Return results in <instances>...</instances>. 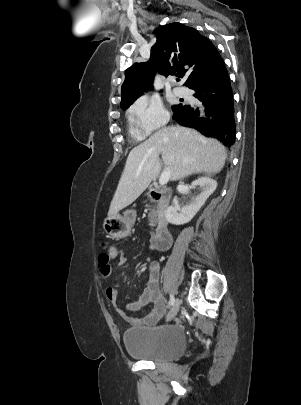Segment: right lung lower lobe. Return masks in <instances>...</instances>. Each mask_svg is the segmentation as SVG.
<instances>
[{"instance_id":"right-lung-lower-lobe-1","label":"right lung lower lobe","mask_w":301,"mask_h":405,"mask_svg":"<svg viewBox=\"0 0 301 405\" xmlns=\"http://www.w3.org/2000/svg\"><path fill=\"white\" fill-rule=\"evenodd\" d=\"M190 89L196 92L194 97L200 100L203 106L183 104L174 110L173 119L231 147L235 142L236 123L233 92L225 65L213 78Z\"/></svg>"}]
</instances>
